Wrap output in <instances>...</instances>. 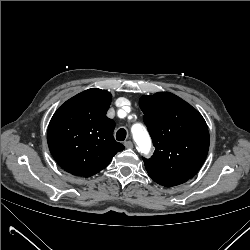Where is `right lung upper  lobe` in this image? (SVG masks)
<instances>
[{
  "label": "right lung upper lobe",
  "mask_w": 250,
  "mask_h": 250,
  "mask_svg": "<svg viewBox=\"0 0 250 250\" xmlns=\"http://www.w3.org/2000/svg\"><path fill=\"white\" fill-rule=\"evenodd\" d=\"M110 103L108 91L92 88L67 100L53 115L48 146L66 172L90 177L124 149L113 137L115 122L106 116Z\"/></svg>",
  "instance_id": "right-lung-upper-lobe-1"
}]
</instances>
